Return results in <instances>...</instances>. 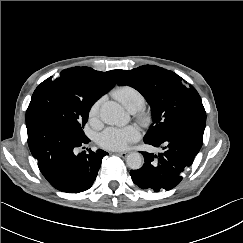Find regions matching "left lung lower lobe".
<instances>
[{
    "instance_id": "left-lung-lower-lobe-1",
    "label": "left lung lower lobe",
    "mask_w": 243,
    "mask_h": 243,
    "mask_svg": "<svg viewBox=\"0 0 243 243\" xmlns=\"http://www.w3.org/2000/svg\"><path fill=\"white\" fill-rule=\"evenodd\" d=\"M205 125L206 113L190 115L176 122L161 139L144 141L155 147L162 146L163 151L158 154L141 152L144 164L130 171L133 182L155 192L177 186L201 149Z\"/></svg>"
}]
</instances>
